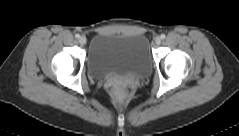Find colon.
I'll return each instance as SVG.
<instances>
[{
    "instance_id": "1",
    "label": "colon",
    "mask_w": 239,
    "mask_h": 136,
    "mask_svg": "<svg viewBox=\"0 0 239 136\" xmlns=\"http://www.w3.org/2000/svg\"><path fill=\"white\" fill-rule=\"evenodd\" d=\"M128 86L124 82H115L112 85V93L117 99H123L126 97Z\"/></svg>"
}]
</instances>
